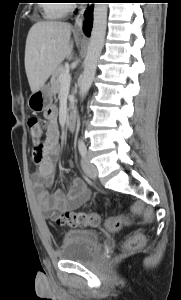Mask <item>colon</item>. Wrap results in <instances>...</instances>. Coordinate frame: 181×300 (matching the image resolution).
Listing matches in <instances>:
<instances>
[{
    "label": "colon",
    "mask_w": 181,
    "mask_h": 300,
    "mask_svg": "<svg viewBox=\"0 0 181 300\" xmlns=\"http://www.w3.org/2000/svg\"><path fill=\"white\" fill-rule=\"evenodd\" d=\"M29 135L32 139L35 151H40L43 148V137L45 134V126L37 117H31L27 121ZM58 223L68 227H97L101 224V216L98 213H64L58 218ZM128 224V220L123 217H111L106 221V228L111 231L119 230ZM144 243V237L140 233H135L129 236L124 244V251L134 250Z\"/></svg>",
    "instance_id": "5ec220e1"
}]
</instances>
